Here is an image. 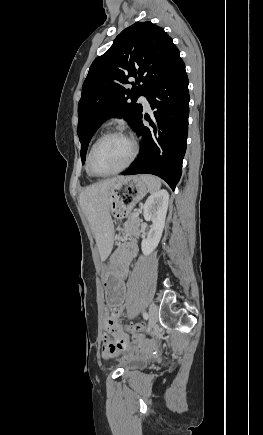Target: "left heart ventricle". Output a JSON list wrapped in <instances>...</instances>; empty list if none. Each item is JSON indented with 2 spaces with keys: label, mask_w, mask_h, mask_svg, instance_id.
Here are the masks:
<instances>
[{
  "label": "left heart ventricle",
  "mask_w": 263,
  "mask_h": 435,
  "mask_svg": "<svg viewBox=\"0 0 263 435\" xmlns=\"http://www.w3.org/2000/svg\"><path fill=\"white\" fill-rule=\"evenodd\" d=\"M131 143L118 136L103 140L95 149L92 164L99 172H110L121 167L129 158Z\"/></svg>",
  "instance_id": "b2bd125f"
}]
</instances>
